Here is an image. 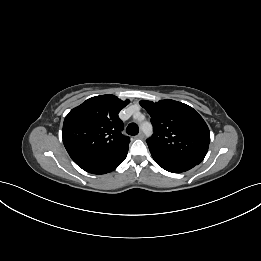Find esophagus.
<instances>
[{
	"mask_svg": "<svg viewBox=\"0 0 261 261\" xmlns=\"http://www.w3.org/2000/svg\"><path fill=\"white\" fill-rule=\"evenodd\" d=\"M136 138H138V139H143V138H144V133H143V132H140V133L136 136Z\"/></svg>",
	"mask_w": 261,
	"mask_h": 261,
	"instance_id": "esophagus-1",
	"label": "esophagus"
}]
</instances>
